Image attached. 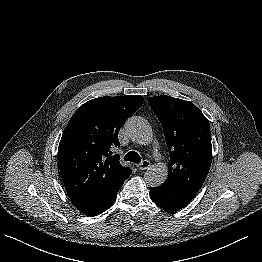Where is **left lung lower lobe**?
I'll use <instances>...</instances> for the list:
<instances>
[{"label": "left lung lower lobe", "mask_w": 262, "mask_h": 262, "mask_svg": "<svg viewBox=\"0 0 262 262\" xmlns=\"http://www.w3.org/2000/svg\"><path fill=\"white\" fill-rule=\"evenodd\" d=\"M196 193L164 182L159 187L150 188L151 200L168 212L184 208L191 202Z\"/></svg>", "instance_id": "obj_1"}]
</instances>
